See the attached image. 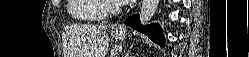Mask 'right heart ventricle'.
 <instances>
[{
	"label": "right heart ventricle",
	"mask_w": 249,
	"mask_h": 57,
	"mask_svg": "<svg viewBox=\"0 0 249 57\" xmlns=\"http://www.w3.org/2000/svg\"><path fill=\"white\" fill-rule=\"evenodd\" d=\"M68 13L74 20L97 21L104 18L99 0H69Z\"/></svg>",
	"instance_id": "e07e8e85"
}]
</instances>
